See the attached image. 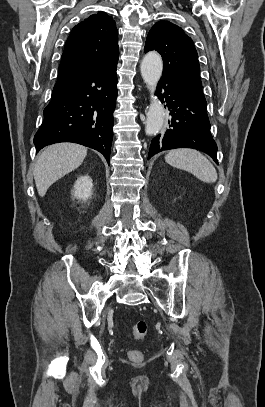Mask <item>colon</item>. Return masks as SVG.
Returning <instances> with one entry per match:
<instances>
[{
  "label": "colon",
  "instance_id": "obj_1",
  "mask_svg": "<svg viewBox=\"0 0 265 407\" xmlns=\"http://www.w3.org/2000/svg\"><path fill=\"white\" fill-rule=\"evenodd\" d=\"M148 331V324L146 321H137L130 328V336L135 340H142ZM128 357L132 361L139 362L143 359V354L140 350L132 349L128 352Z\"/></svg>",
  "mask_w": 265,
  "mask_h": 407
}]
</instances>
